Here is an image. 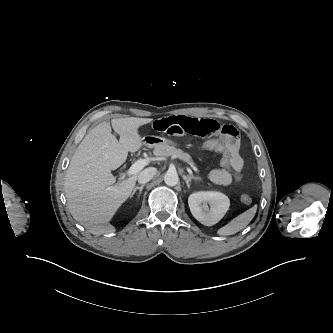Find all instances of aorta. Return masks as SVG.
Returning <instances> with one entry per match:
<instances>
[{
    "mask_svg": "<svg viewBox=\"0 0 333 333\" xmlns=\"http://www.w3.org/2000/svg\"><path fill=\"white\" fill-rule=\"evenodd\" d=\"M179 181L178 174L173 171H168L164 176V182L168 186H175Z\"/></svg>",
    "mask_w": 333,
    "mask_h": 333,
    "instance_id": "aorta-1",
    "label": "aorta"
}]
</instances>
